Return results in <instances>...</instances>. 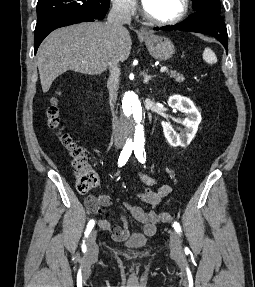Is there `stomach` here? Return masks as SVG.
<instances>
[{"mask_svg": "<svg viewBox=\"0 0 255 287\" xmlns=\"http://www.w3.org/2000/svg\"><path fill=\"white\" fill-rule=\"evenodd\" d=\"M145 46L150 54L153 56L155 60H169L172 58L175 50L174 44H172L169 38H165V36H143Z\"/></svg>", "mask_w": 255, "mask_h": 287, "instance_id": "0dacf381", "label": "stomach"}]
</instances>
